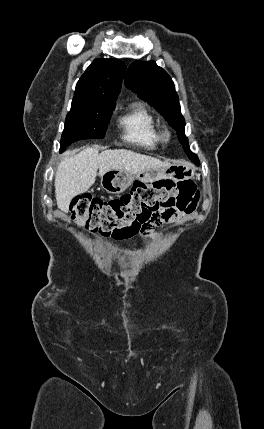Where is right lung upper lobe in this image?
<instances>
[{"label":"right lung upper lobe","mask_w":264,"mask_h":429,"mask_svg":"<svg viewBox=\"0 0 264 429\" xmlns=\"http://www.w3.org/2000/svg\"><path fill=\"white\" fill-rule=\"evenodd\" d=\"M125 69L118 59H96L79 79L73 100L115 102Z\"/></svg>","instance_id":"cb5924a9"}]
</instances>
